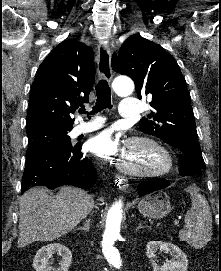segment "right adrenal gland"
<instances>
[{"instance_id": "2a0ac1e0", "label": "right adrenal gland", "mask_w": 221, "mask_h": 271, "mask_svg": "<svg viewBox=\"0 0 221 271\" xmlns=\"http://www.w3.org/2000/svg\"><path fill=\"white\" fill-rule=\"evenodd\" d=\"M91 225V219H86L85 223H83L82 227H78V229H86L89 231Z\"/></svg>"}]
</instances>
